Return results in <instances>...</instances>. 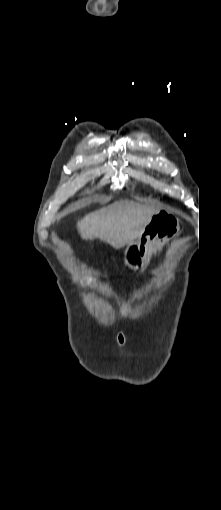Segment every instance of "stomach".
<instances>
[{
	"label": "stomach",
	"instance_id": "stomach-1",
	"mask_svg": "<svg viewBox=\"0 0 221 510\" xmlns=\"http://www.w3.org/2000/svg\"><path fill=\"white\" fill-rule=\"evenodd\" d=\"M179 230V219L175 215L158 211L150 218L138 240L127 245L124 252L125 265L134 270L143 268L152 255L173 239Z\"/></svg>",
	"mask_w": 221,
	"mask_h": 510
}]
</instances>
